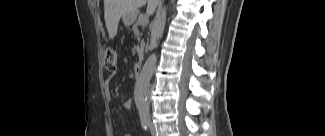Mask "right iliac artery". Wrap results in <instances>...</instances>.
Wrapping results in <instances>:
<instances>
[{"label":"right iliac artery","mask_w":325,"mask_h":136,"mask_svg":"<svg viewBox=\"0 0 325 136\" xmlns=\"http://www.w3.org/2000/svg\"><path fill=\"white\" fill-rule=\"evenodd\" d=\"M140 121H141V125L144 129H147L148 125H149V117L146 114H141L140 115Z\"/></svg>","instance_id":"right-iliac-artery-1"}]
</instances>
